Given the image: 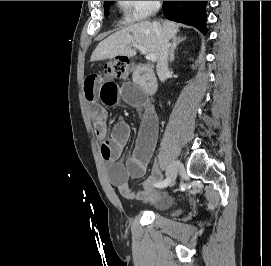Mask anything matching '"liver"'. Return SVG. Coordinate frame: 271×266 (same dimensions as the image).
I'll return each instance as SVG.
<instances>
[{"label": "liver", "instance_id": "liver-1", "mask_svg": "<svg viewBox=\"0 0 271 266\" xmlns=\"http://www.w3.org/2000/svg\"><path fill=\"white\" fill-rule=\"evenodd\" d=\"M160 26L168 39L176 37L179 32V25L175 22L165 20ZM133 44L144 46L149 53L159 58L158 38L153 23L143 21L128 26L100 42L91 55V61L112 59L117 56L133 57L136 55V50L131 47Z\"/></svg>", "mask_w": 271, "mask_h": 266}]
</instances>
